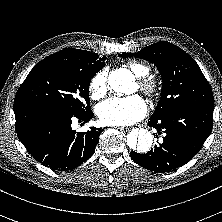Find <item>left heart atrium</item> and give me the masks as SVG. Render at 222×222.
Segmentation results:
<instances>
[{"mask_svg": "<svg viewBox=\"0 0 222 222\" xmlns=\"http://www.w3.org/2000/svg\"><path fill=\"white\" fill-rule=\"evenodd\" d=\"M147 105L139 95L114 97L107 99L96 107V114L106 125L126 126L145 117Z\"/></svg>", "mask_w": 222, "mask_h": 222, "instance_id": "left-heart-atrium-1", "label": "left heart atrium"}]
</instances>
